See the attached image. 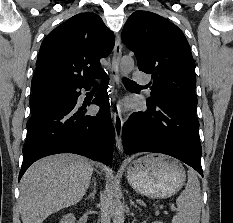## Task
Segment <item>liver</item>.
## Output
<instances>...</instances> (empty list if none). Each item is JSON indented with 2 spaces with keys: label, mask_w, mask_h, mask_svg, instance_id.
Masks as SVG:
<instances>
[{
  "label": "liver",
  "mask_w": 233,
  "mask_h": 223,
  "mask_svg": "<svg viewBox=\"0 0 233 223\" xmlns=\"http://www.w3.org/2000/svg\"><path fill=\"white\" fill-rule=\"evenodd\" d=\"M92 173L91 161L74 153L32 163L21 179L18 201L23 223H42L54 211L75 205L86 193Z\"/></svg>",
  "instance_id": "6515ba94"
}]
</instances>
